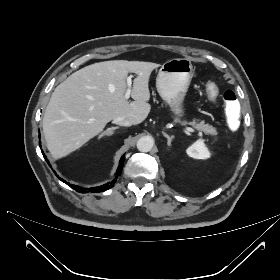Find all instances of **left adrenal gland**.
Listing matches in <instances>:
<instances>
[{
	"mask_svg": "<svg viewBox=\"0 0 280 280\" xmlns=\"http://www.w3.org/2000/svg\"><path fill=\"white\" fill-rule=\"evenodd\" d=\"M162 134L164 135V137L167 138V145H168V146H171V142H172L174 136H169V135H168L167 133H165V132H162Z\"/></svg>",
	"mask_w": 280,
	"mask_h": 280,
	"instance_id": "obj_1",
	"label": "left adrenal gland"
}]
</instances>
